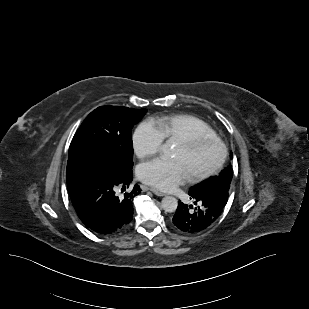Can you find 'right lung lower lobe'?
Masks as SVG:
<instances>
[{"instance_id": "obj_1", "label": "right lung lower lobe", "mask_w": 309, "mask_h": 309, "mask_svg": "<svg viewBox=\"0 0 309 309\" xmlns=\"http://www.w3.org/2000/svg\"><path fill=\"white\" fill-rule=\"evenodd\" d=\"M133 179L132 168L116 173L111 165L93 158H69L66 180L69 195L81 221L101 235L125 229L133 218V199L141 192L136 184L124 196Z\"/></svg>"}]
</instances>
